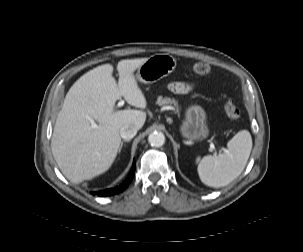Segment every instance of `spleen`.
<instances>
[{
    "label": "spleen",
    "instance_id": "spleen-1",
    "mask_svg": "<svg viewBox=\"0 0 303 252\" xmlns=\"http://www.w3.org/2000/svg\"><path fill=\"white\" fill-rule=\"evenodd\" d=\"M227 147L224 153L217 156L196 158L198 175L205 185L215 188L226 186L241 174L252 150L249 131H239Z\"/></svg>",
    "mask_w": 303,
    "mask_h": 252
}]
</instances>
